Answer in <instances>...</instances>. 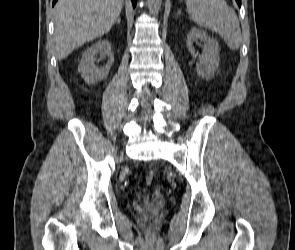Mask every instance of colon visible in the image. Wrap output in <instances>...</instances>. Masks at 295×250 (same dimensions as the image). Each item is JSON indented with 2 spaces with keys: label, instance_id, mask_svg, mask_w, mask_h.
<instances>
[{
  "label": "colon",
  "instance_id": "1",
  "mask_svg": "<svg viewBox=\"0 0 295 250\" xmlns=\"http://www.w3.org/2000/svg\"><path fill=\"white\" fill-rule=\"evenodd\" d=\"M155 178V174L153 171H148L146 174H145V182L147 184H151L153 182Z\"/></svg>",
  "mask_w": 295,
  "mask_h": 250
}]
</instances>
